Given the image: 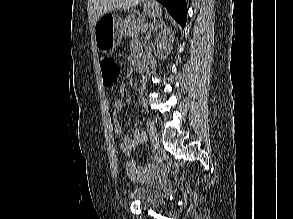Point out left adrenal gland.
I'll return each mask as SVG.
<instances>
[{"instance_id":"a2214340","label":"left adrenal gland","mask_w":293,"mask_h":219,"mask_svg":"<svg viewBox=\"0 0 293 219\" xmlns=\"http://www.w3.org/2000/svg\"><path fill=\"white\" fill-rule=\"evenodd\" d=\"M163 25H165L163 20H160V22H154V25L152 26V28H150L149 31L147 32L146 39L148 40L151 37V33H153L154 31H157L158 27H162Z\"/></svg>"}]
</instances>
